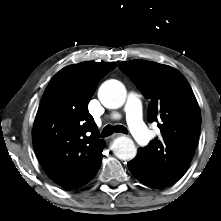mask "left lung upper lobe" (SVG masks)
<instances>
[{
  "instance_id": "5c2ea615",
  "label": "left lung upper lobe",
  "mask_w": 221,
  "mask_h": 221,
  "mask_svg": "<svg viewBox=\"0 0 221 221\" xmlns=\"http://www.w3.org/2000/svg\"><path fill=\"white\" fill-rule=\"evenodd\" d=\"M118 67L150 99L149 122H160L161 136L138 152L155 184L169 186L184 175L194 155L201 127L197 100L185 77L170 66L135 59Z\"/></svg>"
}]
</instances>
